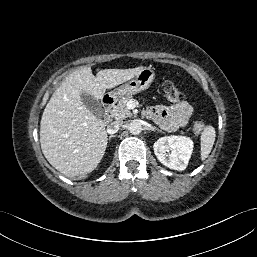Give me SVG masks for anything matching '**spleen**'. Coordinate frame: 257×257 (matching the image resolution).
Masks as SVG:
<instances>
[{
    "label": "spleen",
    "mask_w": 257,
    "mask_h": 257,
    "mask_svg": "<svg viewBox=\"0 0 257 257\" xmlns=\"http://www.w3.org/2000/svg\"><path fill=\"white\" fill-rule=\"evenodd\" d=\"M215 129L211 125L205 126L200 136V144H201V160H205L214 145L215 142Z\"/></svg>",
    "instance_id": "obj_1"
}]
</instances>
